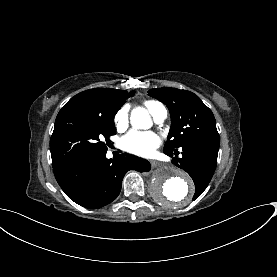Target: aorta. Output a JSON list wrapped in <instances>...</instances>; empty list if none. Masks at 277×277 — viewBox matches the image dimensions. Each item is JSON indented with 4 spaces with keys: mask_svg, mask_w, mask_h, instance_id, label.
<instances>
[{
    "mask_svg": "<svg viewBox=\"0 0 277 277\" xmlns=\"http://www.w3.org/2000/svg\"><path fill=\"white\" fill-rule=\"evenodd\" d=\"M131 124L135 128L149 129L152 121L148 111L142 107L133 109ZM149 187L153 198L165 205H185L194 193L191 178L173 164L159 166L151 177Z\"/></svg>",
    "mask_w": 277,
    "mask_h": 277,
    "instance_id": "aorta-1",
    "label": "aorta"
}]
</instances>
